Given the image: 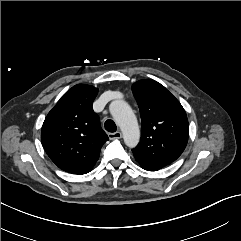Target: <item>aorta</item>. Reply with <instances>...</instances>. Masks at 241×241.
Instances as JSON below:
<instances>
[{
	"instance_id": "aorta-1",
	"label": "aorta",
	"mask_w": 241,
	"mask_h": 241,
	"mask_svg": "<svg viewBox=\"0 0 241 241\" xmlns=\"http://www.w3.org/2000/svg\"><path fill=\"white\" fill-rule=\"evenodd\" d=\"M109 109L123 133L125 144L129 147H135L140 139V130L131 107L123 100H115L111 102Z\"/></svg>"
}]
</instances>
